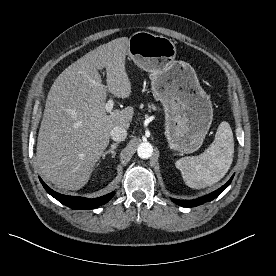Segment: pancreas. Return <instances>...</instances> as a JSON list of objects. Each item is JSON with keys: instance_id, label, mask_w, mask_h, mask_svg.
I'll return each instance as SVG.
<instances>
[{"instance_id": "cf45deb5", "label": "pancreas", "mask_w": 276, "mask_h": 276, "mask_svg": "<svg viewBox=\"0 0 276 276\" xmlns=\"http://www.w3.org/2000/svg\"><path fill=\"white\" fill-rule=\"evenodd\" d=\"M148 108H149V110H151V109L152 110H158L157 107L153 104L149 105Z\"/></svg>"}]
</instances>
